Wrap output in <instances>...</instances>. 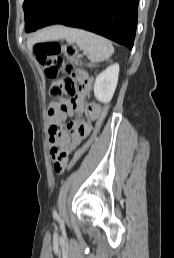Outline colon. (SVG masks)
I'll return each mask as SVG.
<instances>
[{"label":"colon","instance_id":"5ec220e1","mask_svg":"<svg viewBox=\"0 0 174 258\" xmlns=\"http://www.w3.org/2000/svg\"><path fill=\"white\" fill-rule=\"evenodd\" d=\"M34 53L45 75L52 80L50 96L56 100L63 95L77 94V74L73 66L80 64L77 49L73 44L56 41L41 42L34 46ZM65 59L68 62H65ZM108 105L99 108L95 126L88 140L74 154L69 169H74L94 143L108 114Z\"/></svg>","mask_w":174,"mask_h":258}]
</instances>
